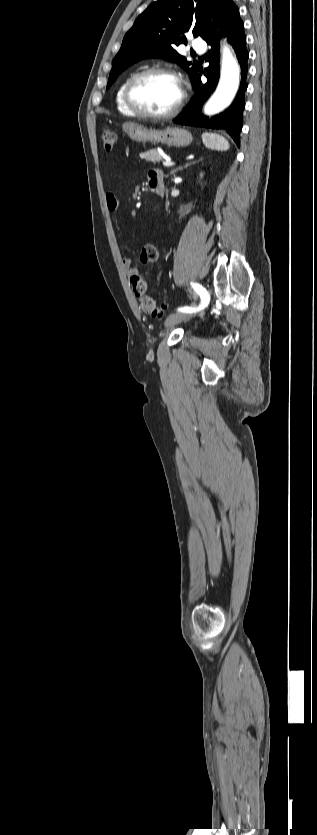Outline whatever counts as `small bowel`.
Returning <instances> with one entry per match:
<instances>
[{
	"label": "small bowel",
	"instance_id": "small-bowel-1",
	"mask_svg": "<svg viewBox=\"0 0 317 835\" xmlns=\"http://www.w3.org/2000/svg\"><path fill=\"white\" fill-rule=\"evenodd\" d=\"M148 178H149V184H151L152 182H158L159 184H161L164 187V175H163L162 171L157 170V169H153L149 172ZM105 200H106V206H107L108 211L110 213H116L118 208H119V203H118V200H117L116 196L112 192H107L106 195H105ZM151 246H152L151 244H146L142 248L140 258H141V261L144 264H149L153 261V260H150L148 258L149 249H150ZM122 265L125 268V270L127 271L128 275H130V276H132L134 274H137L139 272L138 267L136 265H134V263L132 262V260L130 258H123L122 259Z\"/></svg>",
	"mask_w": 317,
	"mask_h": 835
}]
</instances>
